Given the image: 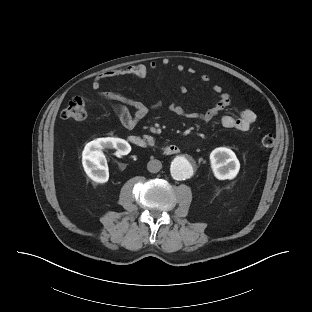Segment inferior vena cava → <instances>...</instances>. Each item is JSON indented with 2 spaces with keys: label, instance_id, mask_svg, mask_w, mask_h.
<instances>
[{
  "label": "inferior vena cava",
  "instance_id": "1",
  "mask_svg": "<svg viewBox=\"0 0 312 312\" xmlns=\"http://www.w3.org/2000/svg\"><path fill=\"white\" fill-rule=\"evenodd\" d=\"M162 164L159 160L152 159L147 164V169L151 173H157L161 170Z\"/></svg>",
  "mask_w": 312,
  "mask_h": 312
}]
</instances>
